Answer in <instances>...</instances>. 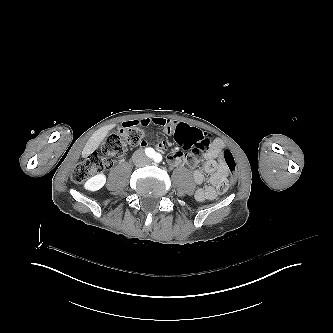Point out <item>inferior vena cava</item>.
I'll return each instance as SVG.
<instances>
[{
	"mask_svg": "<svg viewBox=\"0 0 333 333\" xmlns=\"http://www.w3.org/2000/svg\"><path fill=\"white\" fill-rule=\"evenodd\" d=\"M132 160L136 166H147L150 163V159L146 156L143 150H137L132 156Z\"/></svg>",
	"mask_w": 333,
	"mask_h": 333,
	"instance_id": "inferior-vena-cava-1",
	"label": "inferior vena cava"
}]
</instances>
